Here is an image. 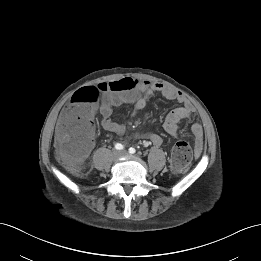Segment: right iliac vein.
Wrapping results in <instances>:
<instances>
[{
	"label": "right iliac vein",
	"mask_w": 261,
	"mask_h": 261,
	"mask_svg": "<svg viewBox=\"0 0 261 261\" xmlns=\"http://www.w3.org/2000/svg\"><path fill=\"white\" fill-rule=\"evenodd\" d=\"M119 156H120V152H118V151H116V150H114V151L112 152V154H111V157H112L113 160L118 159Z\"/></svg>",
	"instance_id": "63e3f726"
}]
</instances>
